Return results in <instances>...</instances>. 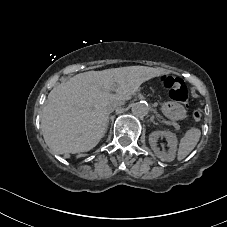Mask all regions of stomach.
Here are the masks:
<instances>
[{
	"mask_svg": "<svg viewBox=\"0 0 227 227\" xmlns=\"http://www.w3.org/2000/svg\"><path fill=\"white\" fill-rule=\"evenodd\" d=\"M163 114L171 120H182L186 117L184 107L175 101H168L162 104Z\"/></svg>",
	"mask_w": 227,
	"mask_h": 227,
	"instance_id": "0dacf381",
	"label": "stomach"
}]
</instances>
